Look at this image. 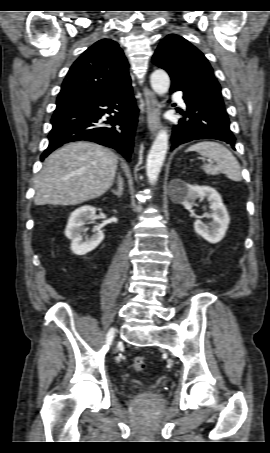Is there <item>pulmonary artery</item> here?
<instances>
[{"label": "pulmonary artery", "instance_id": "pulmonary-artery-1", "mask_svg": "<svg viewBox=\"0 0 270 453\" xmlns=\"http://www.w3.org/2000/svg\"><path fill=\"white\" fill-rule=\"evenodd\" d=\"M175 98L181 103V104H184V101L183 99L181 98V96L179 94H176L175 95Z\"/></svg>", "mask_w": 270, "mask_h": 453}]
</instances>
